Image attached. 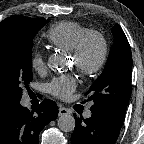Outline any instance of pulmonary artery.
I'll return each mask as SVG.
<instances>
[{
	"instance_id": "obj_1",
	"label": "pulmonary artery",
	"mask_w": 144,
	"mask_h": 144,
	"mask_svg": "<svg viewBox=\"0 0 144 144\" xmlns=\"http://www.w3.org/2000/svg\"><path fill=\"white\" fill-rule=\"evenodd\" d=\"M91 115H92V112H91V111H87V112L85 113V117H86V118H90Z\"/></svg>"
}]
</instances>
